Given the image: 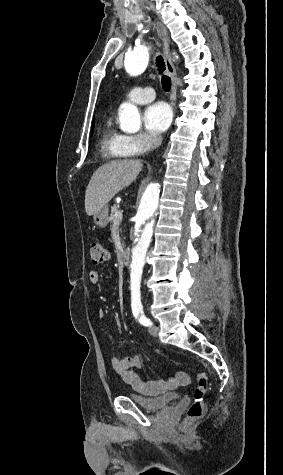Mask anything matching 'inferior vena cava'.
<instances>
[{
	"label": "inferior vena cava",
	"instance_id": "602c4592",
	"mask_svg": "<svg viewBox=\"0 0 283 475\" xmlns=\"http://www.w3.org/2000/svg\"><path fill=\"white\" fill-rule=\"evenodd\" d=\"M162 136L160 134H157V132H150L149 134V142L151 146V150H155V148H158V146H161L162 144Z\"/></svg>",
	"mask_w": 283,
	"mask_h": 475
}]
</instances>
